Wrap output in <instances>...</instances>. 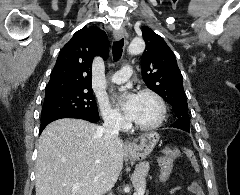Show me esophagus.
Segmentation results:
<instances>
[{
	"label": "esophagus",
	"instance_id": "34e87169",
	"mask_svg": "<svg viewBox=\"0 0 240 195\" xmlns=\"http://www.w3.org/2000/svg\"><path fill=\"white\" fill-rule=\"evenodd\" d=\"M126 34V30L124 28H120L119 30L114 31V38L116 40H121ZM125 148H132L131 143L127 142L125 145Z\"/></svg>",
	"mask_w": 240,
	"mask_h": 195
}]
</instances>
